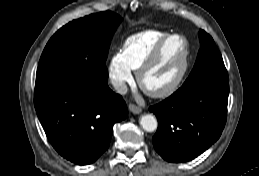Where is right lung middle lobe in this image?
<instances>
[{
    "label": "right lung middle lobe",
    "instance_id": "dd1d6c3e",
    "mask_svg": "<svg viewBox=\"0 0 259 176\" xmlns=\"http://www.w3.org/2000/svg\"><path fill=\"white\" fill-rule=\"evenodd\" d=\"M120 17L111 11L73 20L60 28L47 43L39 66L66 56H86L105 62L109 43Z\"/></svg>",
    "mask_w": 259,
    "mask_h": 176
}]
</instances>
